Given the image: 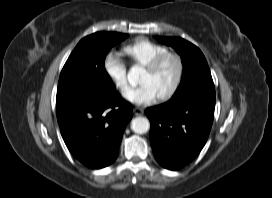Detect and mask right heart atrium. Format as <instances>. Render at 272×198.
I'll return each mask as SVG.
<instances>
[{
    "label": "right heart atrium",
    "mask_w": 272,
    "mask_h": 198,
    "mask_svg": "<svg viewBox=\"0 0 272 198\" xmlns=\"http://www.w3.org/2000/svg\"><path fill=\"white\" fill-rule=\"evenodd\" d=\"M103 68L107 77L121 91L127 87V66L119 54L109 52L103 60Z\"/></svg>",
    "instance_id": "1"
}]
</instances>
